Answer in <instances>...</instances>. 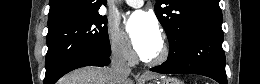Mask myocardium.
<instances>
[{"mask_svg": "<svg viewBox=\"0 0 260 84\" xmlns=\"http://www.w3.org/2000/svg\"><path fill=\"white\" fill-rule=\"evenodd\" d=\"M169 55V46L165 40L161 42L160 49L158 53L154 57L144 58L142 57V61L150 66H157L163 64Z\"/></svg>", "mask_w": 260, "mask_h": 84, "instance_id": "f54148a6", "label": "myocardium"}]
</instances>
